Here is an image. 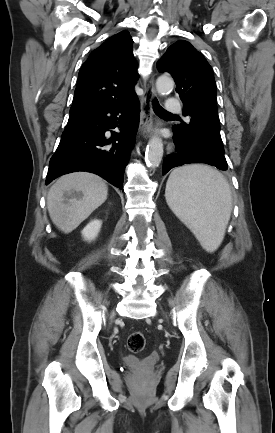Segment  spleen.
Returning a JSON list of instances; mask_svg holds the SVG:
<instances>
[{
  "label": "spleen",
  "mask_w": 275,
  "mask_h": 433,
  "mask_svg": "<svg viewBox=\"0 0 275 433\" xmlns=\"http://www.w3.org/2000/svg\"><path fill=\"white\" fill-rule=\"evenodd\" d=\"M166 201L207 252L221 244L232 210V195L224 176L207 165H187L170 174Z\"/></svg>",
  "instance_id": "1"
}]
</instances>
